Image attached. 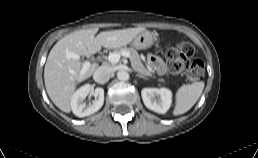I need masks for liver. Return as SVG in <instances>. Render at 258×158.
Returning <instances> with one entry per match:
<instances>
[{
    "label": "liver",
    "instance_id": "6515ba94",
    "mask_svg": "<svg viewBox=\"0 0 258 158\" xmlns=\"http://www.w3.org/2000/svg\"><path fill=\"white\" fill-rule=\"evenodd\" d=\"M143 27L123 30L104 31L99 33L97 28L85 29L70 33L60 39L51 49L44 68L46 91L52 102L63 112H70V100L78 83L89 78L95 71L92 64L81 74L83 65L80 60L67 59V52L79 56H89L101 50V47L115 49L125 46L141 31Z\"/></svg>",
    "mask_w": 258,
    "mask_h": 158
}]
</instances>
